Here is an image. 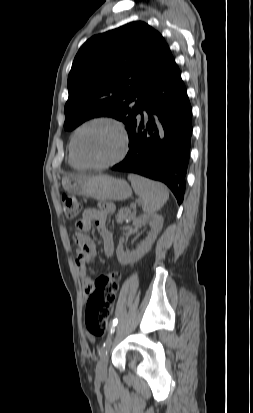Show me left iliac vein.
Instances as JSON below:
<instances>
[{"label":"left iliac vein","mask_w":253,"mask_h":413,"mask_svg":"<svg viewBox=\"0 0 253 413\" xmlns=\"http://www.w3.org/2000/svg\"><path fill=\"white\" fill-rule=\"evenodd\" d=\"M107 365H108V352L101 355L100 359L96 365V376L98 378H104L107 374Z\"/></svg>","instance_id":"left-iliac-vein-1"}]
</instances>
